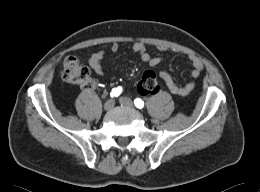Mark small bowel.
<instances>
[{"instance_id": "obj_1", "label": "small bowel", "mask_w": 260, "mask_h": 192, "mask_svg": "<svg viewBox=\"0 0 260 192\" xmlns=\"http://www.w3.org/2000/svg\"><path fill=\"white\" fill-rule=\"evenodd\" d=\"M112 52H117L119 50V45L113 43L110 47ZM133 51L140 57V59L147 63L149 66L154 67L160 63V58L152 57L143 42H135L132 47ZM104 58V51H97L93 53L89 59V64L95 73L98 75L104 74V67L102 64ZM192 64V70L190 72V77L195 79L203 71L204 65L202 61L195 57L191 56L190 58ZM159 78L165 83L168 90L176 96H188L196 88V83L194 81L188 82L185 85H178L171 74L168 72H160ZM157 79L155 73L149 71L147 72L143 79L138 84V90L141 94H148L152 92V82Z\"/></svg>"}]
</instances>
